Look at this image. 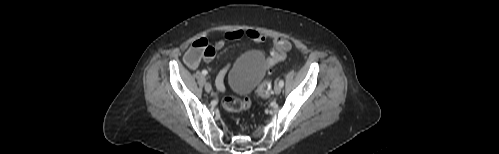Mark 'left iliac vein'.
<instances>
[{"label":"left iliac vein","mask_w":499,"mask_h":154,"mask_svg":"<svg viewBox=\"0 0 499 154\" xmlns=\"http://www.w3.org/2000/svg\"><path fill=\"white\" fill-rule=\"evenodd\" d=\"M282 87L279 84H276L274 87V92L276 95H279L281 93Z\"/></svg>","instance_id":"1"}]
</instances>
